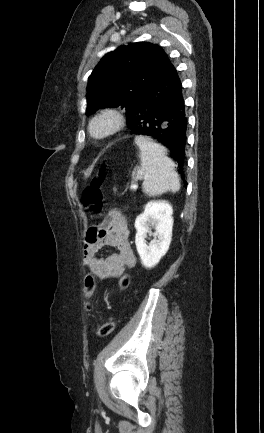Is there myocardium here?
I'll return each instance as SVG.
<instances>
[{
  "instance_id": "1",
  "label": "myocardium",
  "mask_w": 264,
  "mask_h": 433,
  "mask_svg": "<svg viewBox=\"0 0 264 433\" xmlns=\"http://www.w3.org/2000/svg\"><path fill=\"white\" fill-rule=\"evenodd\" d=\"M125 125L122 112L106 108L95 114L88 122L87 134L96 141H101L117 134Z\"/></svg>"
}]
</instances>
